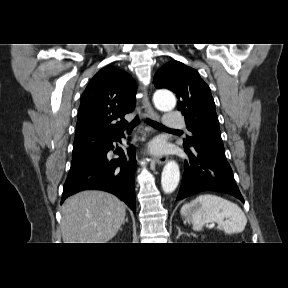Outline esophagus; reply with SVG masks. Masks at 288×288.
Masks as SVG:
<instances>
[{
  "label": "esophagus",
  "mask_w": 288,
  "mask_h": 288,
  "mask_svg": "<svg viewBox=\"0 0 288 288\" xmlns=\"http://www.w3.org/2000/svg\"><path fill=\"white\" fill-rule=\"evenodd\" d=\"M140 90L143 92L142 104H143V107L145 109V112H146L147 116L149 118H151V119L158 120L159 119V115L152 108V106H151V104L149 102V98L147 96L145 87L142 84H140ZM154 161L158 165H163L167 161V156H164V155L156 156L154 158Z\"/></svg>",
  "instance_id": "1"
}]
</instances>
